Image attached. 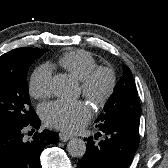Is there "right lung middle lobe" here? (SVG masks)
Segmentation results:
<instances>
[{
    "label": "right lung middle lobe",
    "instance_id": "1",
    "mask_svg": "<svg viewBox=\"0 0 168 168\" xmlns=\"http://www.w3.org/2000/svg\"><path fill=\"white\" fill-rule=\"evenodd\" d=\"M47 49L20 48L14 57L0 64V124L29 123L37 115L30 106L27 72Z\"/></svg>",
    "mask_w": 168,
    "mask_h": 168
}]
</instances>
